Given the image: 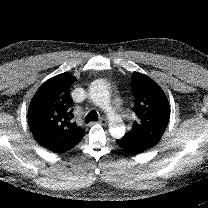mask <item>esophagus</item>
I'll return each mask as SVG.
<instances>
[{"label": "esophagus", "instance_id": "34e87169", "mask_svg": "<svg viewBox=\"0 0 208 208\" xmlns=\"http://www.w3.org/2000/svg\"><path fill=\"white\" fill-rule=\"evenodd\" d=\"M98 123H100V124H102L104 126H106L108 124L107 120L104 119V118H100L99 121H98Z\"/></svg>", "mask_w": 208, "mask_h": 208}]
</instances>
